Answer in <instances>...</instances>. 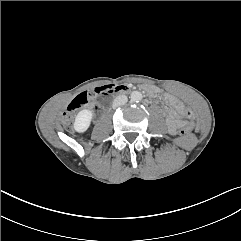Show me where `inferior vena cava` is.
<instances>
[{"instance_id":"1","label":"inferior vena cava","mask_w":241,"mask_h":241,"mask_svg":"<svg viewBox=\"0 0 241 241\" xmlns=\"http://www.w3.org/2000/svg\"><path fill=\"white\" fill-rule=\"evenodd\" d=\"M127 101H128L127 96L119 95L113 101V108L123 106L124 104H126Z\"/></svg>"}]
</instances>
